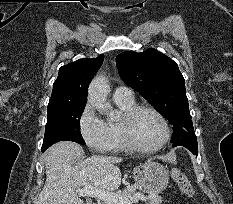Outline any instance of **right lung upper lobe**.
Returning a JSON list of instances; mask_svg holds the SVG:
<instances>
[{"label": "right lung upper lobe", "instance_id": "cb5924a9", "mask_svg": "<svg viewBox=\"0 0 233 204\" xmlns=\"http://www.w3.org/2000/svg\"><path fill=\"white\" fill-rule=\"evenodd\" d=\"M104 55L84 58L62 66L53 84L48 105L86 103L88 84L102 65Z\"/></svg>", "mask_w": 233, "mask_h": 204}]
</instances>
